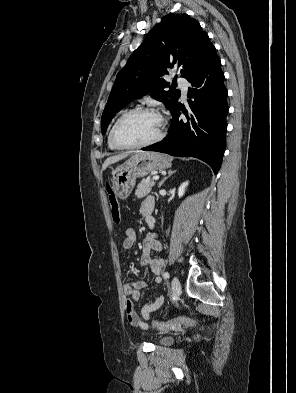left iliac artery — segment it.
I'll return each instance as SVG.
<instances>
[{
    "mask_svg": "<svg viewBox=\"0 0 296 393\" xmlns=\"http://www.w3.org/2000/svg\"><path fill=\"white\" fill-rule=\"evenodd\" d=\"M163 277L165 278V279H169L170 278V274H169V272H164L163 273Z\"/></svg>",
    "mask_w": 296,
    "mask_h": 393,
    "instance_id": "44dca946",
    "label": "left iliac artery"
}]
</instances>
